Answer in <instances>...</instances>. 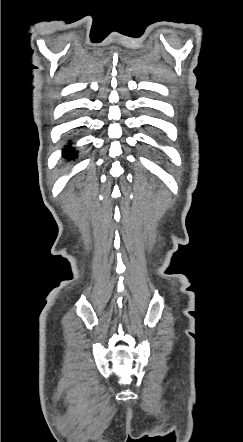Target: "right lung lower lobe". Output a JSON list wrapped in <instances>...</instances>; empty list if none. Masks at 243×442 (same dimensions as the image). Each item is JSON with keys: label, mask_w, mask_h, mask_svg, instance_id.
<instances>
[{"label": "right lung lower lobe", "mask_w": 243, "mask_h": 442, "mask_svg": "<svg viewBox=\"0 0 243 442\" xmlns=\"http://www.w3.org/2000/svg\"><path fill=\"white\" fill-rule=\"evenodd\" d=\"M64 156L69 159V158H75L76 157V153L72 150V147H67L65 149V153Z\"/></svg>", "instance_id": "right-lung-lower-lobe-1"}]
</instances>
